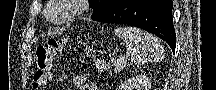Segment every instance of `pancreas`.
I'll use <instances>...</instances> for the list:
<instances>
[{
  "label": "pancreas",
  "instance_id": "1",
  "mask_svg": "<svg viewBox=\"0 0 216 90\" xmlns=\"http://www.w3.org/2000/svg\"><path fill=\"white\" fill-rule=\"evenodd\" d=\"M98 72H110L111 64H96Z\"/></svg>",
  "mask_w": 216,
  "mask_h": 90
}]
</instances>
